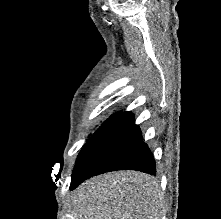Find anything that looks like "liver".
Listing matches in <instances>:
<instances>
[{"instance_id":"6515ba94","label":"liver","mask_w":221,"mask_h":219,"mask_svg":"<svg viewBox=\"0 0 221 219\" xmlns=\"http://www.w3.org/2000/svg\"><path fill=\"white\" fill-rule=\"evenodd\" d=\"M163 195L157 180L137 171L91 178L74 192L75 219H161Z\"/></svg>"}]
</instances>
